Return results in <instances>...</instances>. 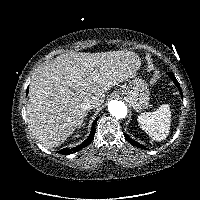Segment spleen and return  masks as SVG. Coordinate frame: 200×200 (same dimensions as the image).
<instances>
[{"label":"spleen","mask_w":200,"mask_h":200,"mask_svg":"<svg viewBox=\"0 0 200 200\" xmlns=\"http://www.w3.org/2000/svg\"><path fill=\"white\" fill-rule=\"evenodd\" d=\"M138 123L152 139L161 141L167 138L171 124V110L169 104H163L153 112L142 113L138 116Z\"/></svg>","instance_id":"spleen-1"}]
</instances>
